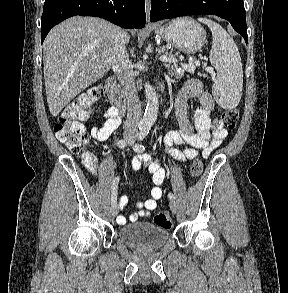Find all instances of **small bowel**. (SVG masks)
Listing matches in <instances>:
<instances>
[{"instance_id": "obj_1", "label": "small bowel", "mask_w": 288, "mask_h": 293, "mask_svg": "<svg viewBox=\"0 0 288 293\" xmlns=\"http://www.w3.org/2000/svg\"><path fill=\"white\" fill-rule=\"evenodd\" d=\"M191 99H198L201 104V107L194 113L193 121L187 116V102ZM213 112V97L203 89L202 82L194 78L187 80L175 100V113L179 129L167 133L164 138L167 153L174 159L183 162L195 159L200 152L204 158H207L227 136L223 122L215 119ZM104 119L102 126L91 129L92 138L100 142L106 141L119 126L118 110L110 107ZM176 145H186L187 147L181 151L175 148ZM142 167L146 168L150 175L151 185L148 188L151 197L136 202L138 211L130 214L129 220L131 222H136L141 217H148L157 208V202L163 196L161 186L165 180V170L157 162L152 161L147 154L139 155L131 162V168L135 172ZM127 203L128 197L121 196L119 199L120 207L124 208ZM117 222L125 224L126 218L119 216Z\"/></svg>"}]
</instances>
